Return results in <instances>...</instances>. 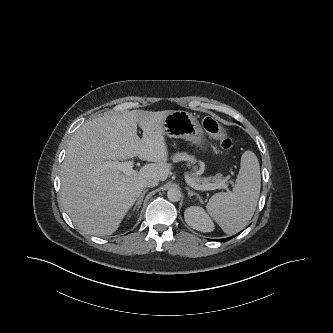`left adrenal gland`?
Here are the masks:
<instances>
[{
    "label": "left adrenal gland",
    "instance_id": "1",
    "mask_svg": "<svg viewBox=\"0 0 333 333\" xmlns=\"http://www.w3.org/2000/svg\"><path fill=\"white\" fill-rule=\"evenodd\" d=\"M186 190L188 191V196H189V197L195 195L198 199H200L199 194L196 193V192L191 191L189 187H186Z\"/></svg>",
    "mask_w": 333,
    "mask_h": 333
}]
</instances>
